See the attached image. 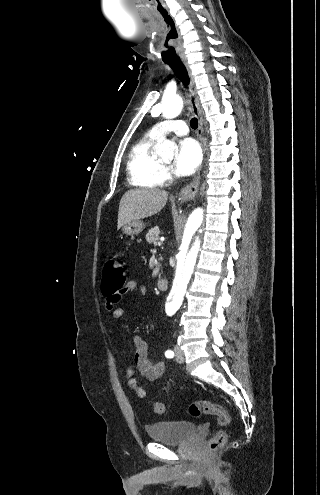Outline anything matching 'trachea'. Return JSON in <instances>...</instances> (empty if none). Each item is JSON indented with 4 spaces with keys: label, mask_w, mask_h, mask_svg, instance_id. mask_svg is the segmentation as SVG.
I'll use <instances>...</instances> for the list:
<instances>
[{
    "label": "trachea",
    "mask_w": 320,
    "mask_h": 495,
    "mask_svg": "<svg viewBox=\"0 0 320 495\" xmlns=\"http://www.w3.org/2000/svg\"><path fill=\"white\" fill-rule=\"evenodd\" d=\"M167 63L172 67L173 71L175 72L177 77L181 80V82L185 86H187L189 84V76H188V73H187V70H186L184 64L180 60H172V61H169ZM190 126L193 129H196L198 127L197 118L191 119Z\"/></svg>",
    "instance_id": "trachea-1"
}]
</instances>
